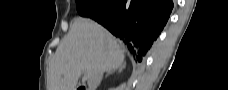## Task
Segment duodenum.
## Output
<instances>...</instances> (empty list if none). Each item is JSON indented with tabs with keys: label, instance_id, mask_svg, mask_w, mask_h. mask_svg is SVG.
<instances>
[{
	"label": "duodenum",
	"instance_id": "410a0bca",
	"mask_svg": "<svg viewBox=\"0 0 228 90\" xmlns=\"http://www.w3.org/2000/svg\"><path fill=\"white\" fill-rule=\"evenodd\" d=\"M76 90H87V88L84 86H78Z\"/></svg>",
	"mask_w": 228,
	"mask_h": 90
}]
</instances>
